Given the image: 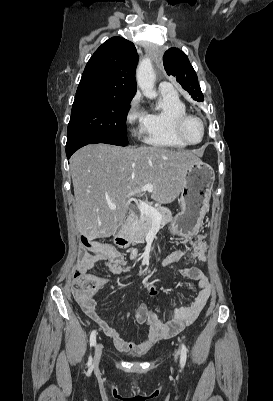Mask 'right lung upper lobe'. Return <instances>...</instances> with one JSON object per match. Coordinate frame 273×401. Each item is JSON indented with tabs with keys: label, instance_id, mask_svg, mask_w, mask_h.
Masks as SVG:
<instances>
[{
	"label": "right lung upper lobe",
	"instance_id": "cb5924a9",
	"mask_svg": "<svg viewBox=\"0 0 273 401\" xmlns=\"http://www.w3.org/2000/svg\"><path fill=\"white\" fill-rule=\"evenodd\" d=\"M138 55L132 42L112 37L89 59L76 96L130 99L136 93L135 69Z\"/></svg>",
	"mask_w": 273,
	"mask_h": 401
}]
</instances>
